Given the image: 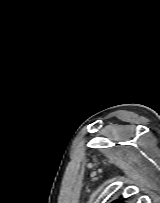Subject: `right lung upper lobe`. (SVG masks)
<instances>
[{"mask_svg":"<svg viewBox=\"0 0 160 203\" xmlns=\"http://www.w3.org/2000/svg\"><path fill=\"white\" fill-rule=\"evenodd\" d=\"M112 203H123L122 201H119V200H115L113 201Z\"/></svg>","mask_w":160,"mask_h":203,"instance_id":"right-lung-upper-lobe-1","label":"right lung upper lobe"}]
</instances>
